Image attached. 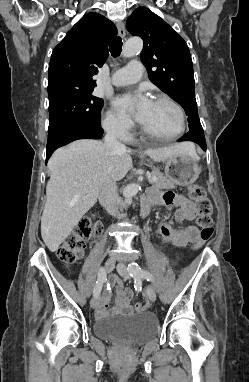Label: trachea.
<instances>
[{"instance_id":"obj_1","label":"trachea","mask_w":249,"mask_h":382,"mask_svg":"<svg viewBox=\"0 0 249 382\" xmlns=\"http://www.w3.org/2000/svg\"><path fill=\"white\" fill-rule=\"evenodd\" d=\"M109 50L114 58L118 57L122 50V39L120 37H115L110 43Z\"/></svg>"}]
</instances>
